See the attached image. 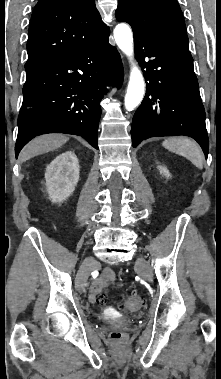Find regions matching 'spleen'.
Returning <instances> with one entry per match:
<instances>
[{
    "instance_id": "1",
    "label": "spleen",
    "mask_w": 221,
    "mask_h": 379,
    "mask_svg": "<svg viewBox=\"0 0 221 379\" xmlns=\"http://www.w3.org/2000/svg\"><path fill=\"white\" fill-rule=\"evenodd\" d=\"M162 145L169 151L187 158L197 168H203V152L195 141L186 137H171L164 140Z\"/></svg>"
}]
</instances>
